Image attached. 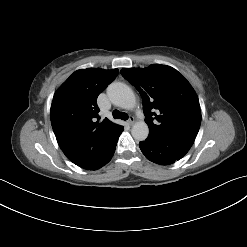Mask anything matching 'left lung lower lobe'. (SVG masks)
Returning <instances> with one entry per match:
<instances>
[{
    "label": "left lung lower lobe",
    "mask_w": 247,
    "mask_h": 247,
    "mask_svg": "<svg viewBox=\"0 0 247 247\" xmlns=\"http://www.w3.org/2000/svg\"><path fill=\"white\" fill-rule=\"evenodd\" d=\"M139 147L148 160L160 165H169L181 159L191 146L148 136L145 141L139 143Z\"/></svg>",
    "instance_id": "left-lung-lower-lobe-1"
}]
</instances>
